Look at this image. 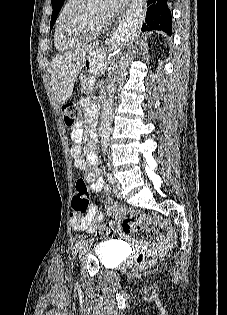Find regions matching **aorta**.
Here are the masks:
<instances>
[{"mask_svg":"<svg viewBox=\"0 0 227 315\" xmlns=\"http://www.w3.org/2000/svg\"><path fill=\"white\" fill-rule=\"evenodd\" d=\"M134 32L133 25L125 22L121 24L114 32L111 38V46L113 50H119L125 46L131 39ZM115 91V83L112 80L107 87L108 97L103 103L101 112V123L99 128L101 145L103 152H107L109 136L111 133L113 121V93Z\"/></svg>","mask_w":227,"mask_h":315,"instance_id":"1","label":"aorta"}]
</instances>
